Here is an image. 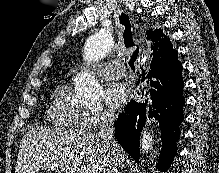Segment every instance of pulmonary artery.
Segmentation results:
<instances>
[{
	"instance_id": "e3ab8cb5",
	"label": "pulmonary artery",
	"mask_w": 219,
	"mask_h": 173,
	"mask_svg": "<svg viewBox=\"0 0 219 173\" xmlns=\"http://www.w3.org/2000/svg\"><path fill=\"white\" fill-rule=\"evenodd\" d=\"M98 75L103 79L120 78L124 75V67L119 59L102 63L98 67Z\"/></svg>"
}]
</instances>
